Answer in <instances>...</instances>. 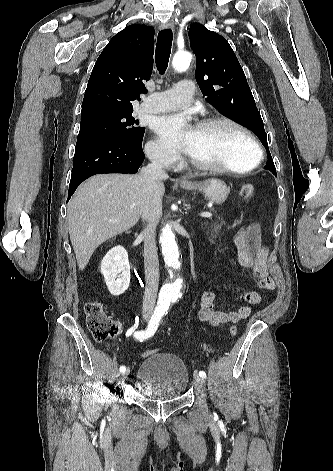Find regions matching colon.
<instances>
[{"mask_svg": "<svg viewBox=\"0 0 333 471\" xmlns=\"http://www.w3.org/2000/svg\"><path fill=\"white\" fill-rule=\"evenodd\" d=\"M239 193L243 199H251L255 194V187L250 183L243 184ZM85 314L87 327L96 341L112 338L121 331L120 323L109 317L99 302H88L85 305ZM229 334L235 336L237 334V327L231 326ZM155 353H157L156 350H147L142 353V356L146 357Z\"/></svg>", "mask_w": 333, "mask_h": 471, "instance_id": "5ec220e1", "label": "colon"}]
</instances>
